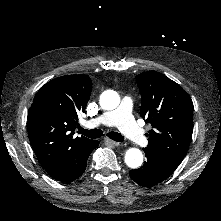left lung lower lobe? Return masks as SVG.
Listing matches in <instances>:
<instances>
[{
    "instance_id": "1",
    "label": "left lung lower lobe",
    "mask_w": 221,
    "mask_h": 221,
    "mask_svg": "<svg viewBox=\"0 0 221 221\" xmlns=\"http://www.w3.org/2000/svg\"><path fill=\"white\" fill-rule=\"evenodd\" d=\"M144 152L147 161L141 168L129 172L130 177L137 184L143 187H152L166 180L174 172V170L162 164L154 154L146 150Z\"/></svg>"
}]
</instances>
